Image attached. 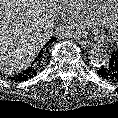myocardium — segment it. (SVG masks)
<instances>
[{"instance_id": "f54148a6", "label": "myocardium", "mask_w": 118, "mask_h": 118, "mask_svg": "<svg viewBox=\"0 0 118 118\" xmlns=\"http://www.w3.org/2000/svg\"><path fill=\"white\" fill-rule=\"evenodd\" d=\"M118 0H113L103 20H96L99 29L105 30L112 42L118 45Z\"/></svg>"}]
</instances>
